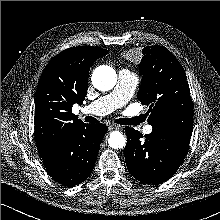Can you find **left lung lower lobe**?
<instances>
[{
	"mask_svg": "<svg viewBox=\"0 0 220 220\" xmlns=\"http://www.w3.org/2000/svg\"><path fill=\"white\" fill-rule=\"evenodd\" d=\"M127 145L124 150L129 172L140 182L159 184L168 180L179 168L188 151L191 135L154 129L143 135L125 127Z\"/></svg>",
	"mask_w": 220,
	"mask_h": 220,
	"instance_id": "left-lung-lower-lobe-1",
	"label": "left lung lower lobe"
}]
</instances>
